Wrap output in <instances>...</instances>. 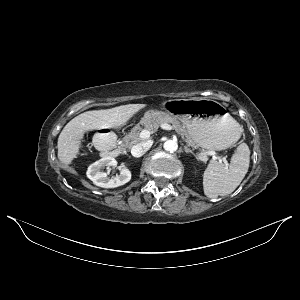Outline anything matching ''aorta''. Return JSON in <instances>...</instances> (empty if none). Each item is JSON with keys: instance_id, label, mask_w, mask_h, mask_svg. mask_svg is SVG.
<instances>
[{"instance_id": "762f6f07", "label": "aorta", "mask_w": 300, "mask_h": 300, "mask_svg": "<svg viewBox=\"0 0 300 300\" xmlns=\"http://www.w3.org/2000/svg\"><path fill=\"white\" fill-rule=\"evenodd\" d=\"M164 149L167 152H175L178 149V143L176 140H166L163 144Z\"/></svg>"}]
</instances>
